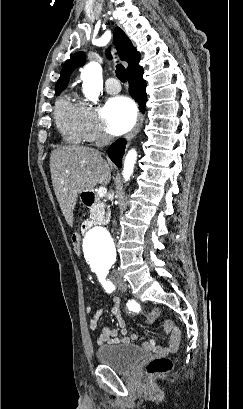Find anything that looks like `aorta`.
<instances>
[{"mask_svg":"<svg viewBox=\"0 0 243 409\" xmlns=\"http://www.w3.org/2000/svg\"><path fill=\"white\" fill-rule=\"evenodd\" d=\"M86 98L97 102L103 89L102 68L97 62L88 63L81 71ZM137 152L131 149L125 157L123 177L128 181L133 174ZM83 249L89 261L101 262L115 250L113 239L103 227H93L84 236Z\"/></svg>","mask_w":243,"mask_h":409,"instance_id":"obj_1","label":"aorta"}]
</instances>
